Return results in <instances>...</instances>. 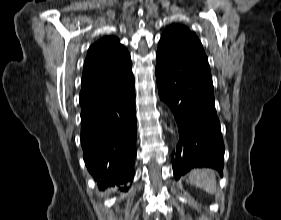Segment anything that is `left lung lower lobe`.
Segmentation results:
<instances>
[{"mask_svg": "<svg viewBox=\"0 0 281 220\" xmlns=\"http://www.w3.org/2000/svg\"><path fill=\"white\" fill-rule=\"evenodd\" d=\"M156 60L160 97L179 127V143L171 156L175 179L198 167L214 168L222 175L224 144L211 72L182 56L156 55Z\"/></svg>", "mask_w": 281, "mask_h": 220, "instance_id": "1", "label": "left lung lower lobe"}]
</instances>
